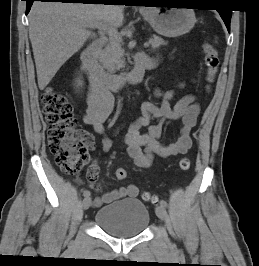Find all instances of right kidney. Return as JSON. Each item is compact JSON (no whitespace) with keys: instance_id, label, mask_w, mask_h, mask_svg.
<instances>
[{"instance_id":"ca27d5eb","label":"right kidney","mask_w":259,"mask_h":266,"mask_svg":"<svg viewBox=\"0 0 259 266\" xmlns=\"http://www.w3.org/2000/svg\"><path fill=\"white\" fill-rule=\"evenodd\" d=\"M83 85V81L81 80V78H77L76 79V87H82Z\"/></svg>"}]
</instances>
